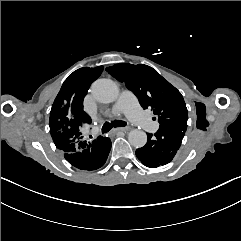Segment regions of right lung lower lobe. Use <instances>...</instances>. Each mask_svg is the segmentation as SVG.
Listing matches in <instances>:
<instances>
[{
    "instance_id": "1",
    "label": "right lung lower lobe",
    "mask_w": 241,
    "mask_h": 241,
    "mask_svg": "<svg viewBox=\"0 0 241 241\" xmlns=\"http://www.w3.org/2000/svg\"><path fill=\"white\" fill-rule=\"evenodd\" d=\"M110 149V138L99 136L96 140L78 144L73 148V151L63 154L65 159L74 167L92 171L105 164Z\"/></svg>"
}]
</instances>
